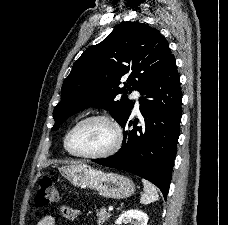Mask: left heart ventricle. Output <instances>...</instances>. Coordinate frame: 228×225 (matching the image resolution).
<instances>
[{
	"label": "left heart ventricle",
	"mask_w": 228,
	"mask_h": 225,
	"mask_svg": "<svg viewBox=\"0 0 228 225\" xmlns=\"http://www.w3.org/2000/svg\"><path fill=\"white\" fill-rule=\"evenodd\" d=\"M114 142L110 126L99 120L81 124L69 137V149L74 153L94 154L108 150Z\"/></svg>",
	"instance_id": "1"
}]
</instances>
